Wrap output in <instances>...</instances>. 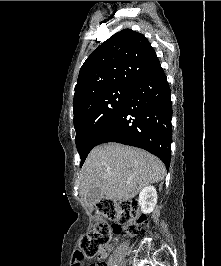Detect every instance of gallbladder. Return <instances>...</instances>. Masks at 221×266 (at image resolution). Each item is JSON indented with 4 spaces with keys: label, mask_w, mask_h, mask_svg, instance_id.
<instances>
[{
    "label": "gallbladder",
    "mask_w": 221,
    "mask_h": 266,
    "mask_svg": "<svg viewBox=\"0 0 221 266\" xmlns=\"http://www.w3.org/2000/svg\"><path fill=\"white\" fill-rule=\"evenodd\" d=\"M103 195L100 188L94 187L85 195V201L88 205L92 206L98 203L103 198Z\"/></svg>",
    "instance_id": "obj_1"
}]
</instances>
